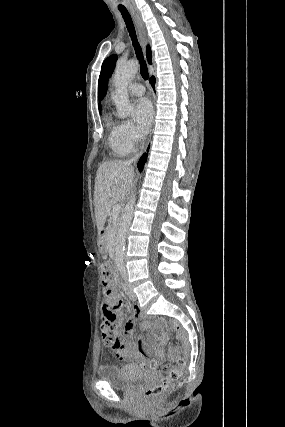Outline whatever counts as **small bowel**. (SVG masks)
Returning <instances> with one entry per match:
<instances>
[{
	"instance_id": "c3829d8e",
	"label": "small bowel",
	"mask_w": 285,
	"mask_h": 427,
	"mask_svg": "<svg viewBox=\"0 0 285 427\" xmlns=\"http://www.w3.org/2000/svg\"><path fill=\"white\" fill-rule=\"evenodd\" d=\"M127 302L125 296L119 294L115 298V311L117 312V317L115 324L118 327H123V333L125 337L122 340V350L116 353V357L121 361L135 362L144 357V354L137 349L136 343L132 340V328L135 324L134 320L124 321V314L120 312L122 303ZM120 312V313H119ZM133 314H136L137 311L132 309ZM103 323L106 321L105 315L106 310L103 307Z\"/></svg>"
}]
</instances>
